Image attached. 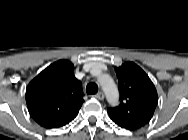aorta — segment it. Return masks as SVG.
<instances>
[{"instance_id": "obj_1", "label": "aorta", "mask_w": 188, "mask_h": 140, "mask_svg": "<svg viewBox=\"0 0 188 140\" xmlns=\"http://www.w3.org/2000/svg\"><path fill=\"white\" fill-rule=\"evenodd\" d=\"M99 84L105 93L107 101L111 105H115L119 99V92L113 79L109 75H102L99 78Z\"/></svg>"}]
</instances>
